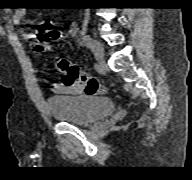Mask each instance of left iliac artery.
Returning <instances> with one entry per match:
<instances>
[{"label":"left iliac artery","instance_id":"44dca946","mask_svg":"<svg viewBox=\"0 0 192 180\" xmlns=\"http://www.w3.org/2000/svg\"><path fill=\"white\" fill-rule=\"evenodd\" d=\"M83 43L86 47H91L92 38L86 33V28H83L82 32Z\"/></svg>","mask_w":192,"mask_h":180}]
</instances>
